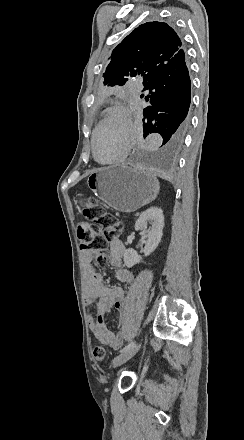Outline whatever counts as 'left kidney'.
I'll list each match as a JSON object with an SVG mask.
<instances>
[{
	"label": "left kidney",
	"mask_w": 244,
	"mask_h": 440,
	"mask_svg": "<svg viewBox=\"0 0 244 440\" xmlns=\"http://www.w3.org/2000/svg\"><path fill=\"white\" fill-rule=\"evenodd\" d=\"M147 222L152 224L150 230H147ZM163 228L164 216L161 208L152 206V208L145 210V212H142L141 216H139L135 224V230H144V234H146L147 242L144 248V256H149V254H152V252L156 250L163 236ZM123 260L127 268H132L135 264H139L141 256L137 254L136 250L128 248L124 254Z\"/></svg>",
	"instance_id": "1"
}]
</instances>
